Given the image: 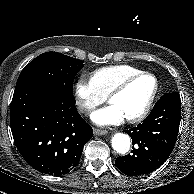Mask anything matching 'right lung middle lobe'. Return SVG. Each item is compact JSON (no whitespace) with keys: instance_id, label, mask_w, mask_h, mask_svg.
Listing matches in <instances>:
<instances>
[{"instance_id":"dd1d6c3e","label":"right lung middle lobe","mask_w":194,"mask_h":194,"mask_svg":"<svg viewBox=\"0 0 194 194\" xmlns=\"http://www.w3.org/2000/svg\"><path fill=\"white\" fill-rule=\"evenodd\" d=\"M83 61L57 52H46L32 60L20 73L15 89L39 85L73 94V81Z\"/></svg>"}]
</instances>
